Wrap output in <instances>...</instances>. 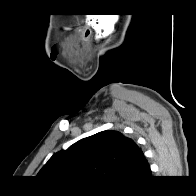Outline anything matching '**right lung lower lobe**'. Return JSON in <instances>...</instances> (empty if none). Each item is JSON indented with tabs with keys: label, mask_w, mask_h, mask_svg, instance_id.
<instances>
[{
	"label": "right lung lower lobe",
	"mask_w": 196,
	"mask_h": 196,
	"mask_svg": "<svg viewBox=\"0 0 196 196\" xmlns=\"http://www.w3.org/2000/svg\"><path fill=\"white\" fill-rule=\"evenodd\" d=\"M150 176H148L147 178H149ZM144 182V180L138 184H133V185H127V187H134V186H139L140 184H142Z\"/></svg>",
	"instance_id": "98d812e1"
}]
</instances>
